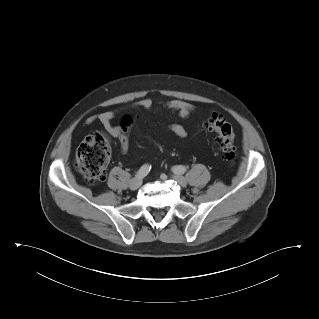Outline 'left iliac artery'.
I'll list each match as a JSON object with an SVG mask.
<instances>
[{
  "mask_svg": "<svg viewBox=\"0 0 319 319\" xmlns=\"http://www.w3.org/2000/svg\"><path fill=\"white\" fill-rule=\"evenodd\" d=\"M172 170L176 174H184L186 172V167L182 165L174 166Z\"/></svg>",
  "mask_w": 319,
  "mask_h": 319,
  "instance_id": "left-iliac-artery-1",
  "label": "left iliac artery"
}]
</instances>
